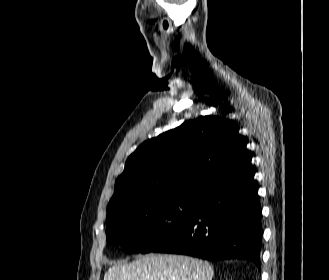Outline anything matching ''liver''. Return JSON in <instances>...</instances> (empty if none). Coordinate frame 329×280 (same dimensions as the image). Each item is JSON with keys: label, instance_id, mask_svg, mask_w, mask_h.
I'll use <instances>...</instances> for the list:
<instances>
[{"label": "liver", "instance_id": "6515ba94", "mask_svg": "<svg viewBox=\"0 0 329 280\" xmlns=\"http://www.w3.org/2000/svg\"><path fill=\"white\" fill-rule=\"evenodd\" d=\"M213 275L212 265L196 258L149 254L131 263L118 262L104 280H212Z\"/></svg>", "mask_w": 329, "mask_h": 280}]
</instances>
